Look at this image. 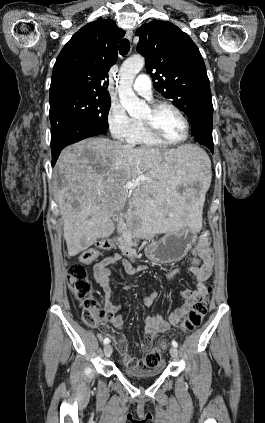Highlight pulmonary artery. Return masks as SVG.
<instances>
[{"instance_id":"obj_1","label":"pulmonary artery","mask_w":265,"mask_h":423,"mask_svg":"<svg viewBox=\"0 0 265 423\" xmlns=\"http://www.w3.org/2000/svg\"><path fill=\"white\" fill-rule=\"evenodd\" d=\"M133 90L146 99L150 100L152 98V85L147 75L137 77L133 84Z\"/></svg>"}]
</instances>
